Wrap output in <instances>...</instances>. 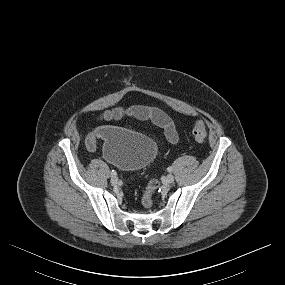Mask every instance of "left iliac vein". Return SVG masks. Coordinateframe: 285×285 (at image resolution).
Segmentation results:
<instances>
[{
    "mask_svg": "<svg viewBox=\"0 0 285 285\" xmlns=\"http://www.w3.org/2000/svg\"><path fill=\"white\" fill-rule=\"evenodd\" d=\"M166 181H167L169 184H173V183H174V176H173L172 174L167 175Z\"/></svg>",
    "mask_w": 285,
    "mask_h": 285,
    "instance_id": "4c4485c4",
    "label": "left iliac vein"
}]
</instances>
